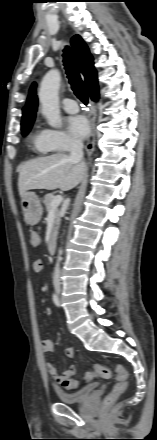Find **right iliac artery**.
Returning <instances> with one entry per match:
<instances>
[{
  "label": "right iliac artery",
  "mask_w": 157,
  "mask_h": 440,
  "mask_svg": "<svg viewBox=\"0 0 157 440\" xmlns=\"http://www.w3.org/2000/svg\"><path fill=\"white\" fill-rule=\"evenodd\" d=\"M52 299H53L54 304L57 307H59L60 306L59 299H58V296L55 293L53 294Z\"/></svg>",
  "instance_id": "obj_1"
}]
</instances>
